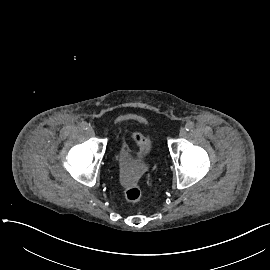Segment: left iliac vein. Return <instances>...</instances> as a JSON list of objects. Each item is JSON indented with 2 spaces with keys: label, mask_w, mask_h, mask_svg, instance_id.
<instances>
[{
  "label": "left iliac vein",
  "mask_w": 270,
  "mask_h": 270,
  "mask_svg": "<svg viewBox=\"0 0 270 270\" xmlns=\"http://www.w3.org/2000/svg\"><path fill=\"white\" fill-rule=\"evenodd\" d=\"M187 135V130L185 128H181L179 132L180 137H185Z\"/></svg>",
  "instance_id": "1"
}]
</instances>
